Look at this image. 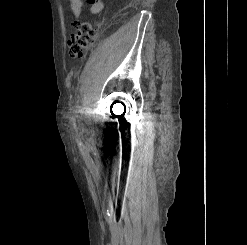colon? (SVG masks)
I'll return each mask as SVG.
<instances>
[{
	"label": "colon",
	"instance_id": "1",
	"mask_svg": "<svg viewBox=\"0 0 247 245\" xmlns=\"http://www.w3.org/2000/svg\"><path fill=\"white\" fill-rule=\"evenodd\" d=\"M98 25L93 21H83L76 25L68 40V52L71 58H83L89 46L95 40Z\"/></svg>",
	"mask_w": 247,
	"mask_h": 245
}]
</instances>
